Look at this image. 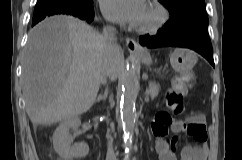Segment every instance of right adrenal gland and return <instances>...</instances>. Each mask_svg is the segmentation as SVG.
<instances>
[{"mask_svg": "<svg viewBox=\"0 0 242 160\" xmlns=\"http://www.w3.org/2000/svg\"><path fill=\"white\" fill-rule=\"evenodd\" d=\"M108 95V88L105 89L104 94H100L97 99L95 100V102H100L102 100H105L107 98Z\"/></svg>", "mask_w": 242, "mask_h": 160, "instance_id": "obj_1", "label": "right adrenal gland"}]
</instances>
